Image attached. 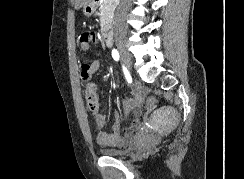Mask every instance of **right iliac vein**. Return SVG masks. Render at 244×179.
<instances>
[{"label": "right iliac vein", "instance_id": "1", "mask_svg": "<svg viewBox=\"0 0 244 179\" xmlns=\"http://www.w3.org/2000/svg\"><path fill=\"white\" fill-rule=\"evenodd\" d=\"M117 49L120 53L121 61L125 65L126 69L128 71H131V69H132L131 57H130L128 51L126 50L125 46L123 45V43H118Z\"/></svg>", "mask_w": 244, "mask_h": 179}]
</instances>
